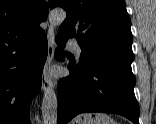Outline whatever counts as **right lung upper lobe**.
<instances>
[{"mask_svg":"<svg viewBox=\"0 0 156 124\" xmlns=\"http://www.w3.org/2000/svg\"><path fill=\"white\" fill-rule=\"evenodd\" d=\"M48 9L41 0H0V44L36 34Z\"/></svg>","mask_w":156,"mask_h":124,"instance_id":"cb5924a9","label":"right lung upper lobe"}]
</instances>
